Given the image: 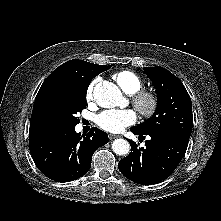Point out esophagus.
Segmentation results:
<instances>
[{
    "label": "esophagus",
    "instance_id": "esophagus-1",
    "mask_svg": "<svg viewBox=\"0 0 221 221\" xmlns=\"http://www.w3.org/2000/svg\"><path fill=\"white\" fill-rule=\"evenodd\" d=\"M118 137H119V135L109 134V139H110V140L116 139V138H118Z\"/></svg>",
    "mask_w": 221,
    "mask_h": 221
}]
</instances>
